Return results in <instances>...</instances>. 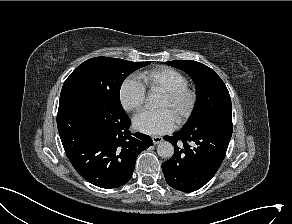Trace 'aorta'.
Listing matches in <instances>:
<instances>
[{
  "mask_svg": "<svg viewBox=\"0 0 292 224\" xmlns=\"http://www.w3.org/2000/svg\"><path fill=\"white\" fill-rule=\"evenodd\" d=\"M159 102L157 93H150L147 97V103L150 107H156ZM158 155L162 158H171L174 154V147L168 141H162L157 146Z\"/></svg>",
  "mask_w": 292,
  "mask_h": 224,
  "instance_id": "1",
  "label": "aorta"
}]
</instances>
